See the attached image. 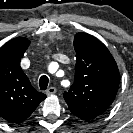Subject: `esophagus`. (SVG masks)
<instances>
[{
    "label": "esophagus",
    "mask_w": 133,
    "mask_h": 133,
    "mask_svg": "<svg viewBox=\"0 0 133 133\" xmlns=\"http://www.w3.org/2000/svg\"><path fill=\"white\" fill-rule=\"evenodd\" d=\"M56 88L55 87H50V88H48L47 90H46V94L47 95H53V94H55L56 93Z\"/></svg>",
    "instance_id": "obj_1"
}]
</instances>
